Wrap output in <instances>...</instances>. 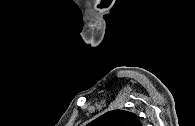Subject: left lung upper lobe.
Segmentation results:
<instances>
[{
	"mask_svg": "<svg viewBox=\"0 0 195 126\" xmlns=\"http://www.w3.org/2000/svg\"><path fill=\"white\" fill-rule=\"evenodd\" d=\"M88 126H142L138 116L126 110L109 111Z\"/></svg>",
	"mask_w": 195,
	"mask_h": 126,
	"instance_id": "1",
	"label": "left lung upper lobe"
}]
</instances>
